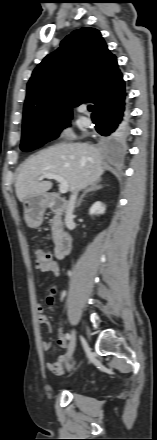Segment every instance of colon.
Instances as JSON below:
<instances>
[{
  "label": "colon",
  "instance_id": "5ec220e1",
  "mask_svg": "<svg viewBox=\"0 0 157 440\" xmlns=\"http://www.w3.org/2000/svg\"><path fill=\"white\" fill-rule=\"evenodd\" d=\"M36 268L43 267L51 261L50 253L41 247H35Z\"/></svg>",
  "mask_w": 157,
  "mask_h": 440
}]
</instances>
